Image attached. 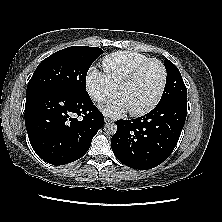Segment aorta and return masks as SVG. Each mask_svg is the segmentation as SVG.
I'll list each match as a JSON object with an SVG mask.
<instances>
[{"label":"aorta","instance_id":"1","mask_svg":"<svg viewBox=\"0 0 222 222\" xmlns=\"http://www.w3.org/2000/svg\"><path fill=\"white\" fill-rule=\"evenodd\" d=\"M104 130L110 135H114L117 131V125L115 123L108 122L104 125Z\"/></svg>","mask_w":222,"mask_h":222}]
</instances>
